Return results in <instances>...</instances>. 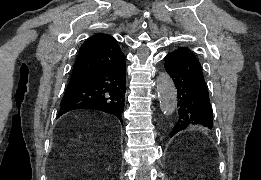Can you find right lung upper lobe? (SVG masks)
<instances>
[{
  "instance_id": "obj_1",
  "label": "right lung upper lobe",
  "mask_w": 261,
  "mask_h": 180,
  "mask_svg": "<svg viewBox=\"0 0 261 180\" xmlns=\"http://www.w3.org/2000/svg\"><path fill=\"white\" fill-rule=\"evenodd\" d=\"M125 55L117 40L107 34H95L80 47L74 64L70 82H76L90 71L123 63Z\"/></svg>"
}]
</instances>
